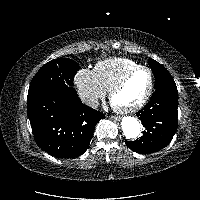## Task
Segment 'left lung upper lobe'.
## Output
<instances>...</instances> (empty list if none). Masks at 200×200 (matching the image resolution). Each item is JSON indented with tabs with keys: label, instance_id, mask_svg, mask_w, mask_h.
Returning <instances> with one entry per match:
<instances>
[{
	"label": "left lung upper lobe",
	"instance_id": "5c2ea615",
	"mask_svg": "<svg viewBox=\"0 0 200 200\" xmlns=\"http://www.w3.org/2000/svg\"><path fill=\"white\" fill-rule=\"evenodd\" d=\"M149 64L155 75V88L162 86L176 87V84L167 69L153 59H149Z\"/></svg>",
	"mask_w": 200,
	"mask_h": 200
}]
</instances>
